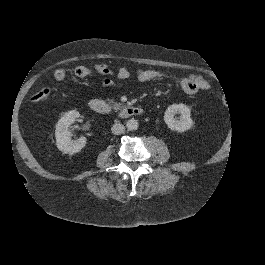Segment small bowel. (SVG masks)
<instances>
[{
  "label": "small bowel",
  "mask_w": 265,
  "mask_h": 265,
  "mask_svg": "<svg viewBox=\"0 0 265 265\" xmlns=\"http://www.w3.org/2000/svg\"><path fill=\"white\" fill-rule=\"evenodd\" d=\"M95 71L106 78L102 80L99 88H119L122 83L129 77L130 70L127 67H121L117 73H114L109 66L105 64L95 65ZM167 79V80H176L182 90L187 94H195L200 90H208L210 84L202 76L191 75L181 78H176L175 76L159 71V70H148L139 75V80L141 82L149 81L152 79Z\"/></svg>",
  "instance_id": "c3829d8e"
}]
</instances>
